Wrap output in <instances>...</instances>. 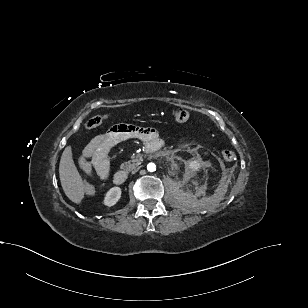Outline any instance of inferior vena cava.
I'll return each mask as SVG.
<instances>
[{"label":"inferior vena cava","instance_id":"obj_1","mask_svg":"<svg viewBox=\"0 0 308 308\" xmlns=\"http://www.w3.org/2000/svg\"><path fill=\"white\" fill-rule=\"evenodd\" d=\"M135 172H137V170L132 171L133 174H134Z\"/></svg>","mask_w":308,"mask_h":308}]
</instances>
